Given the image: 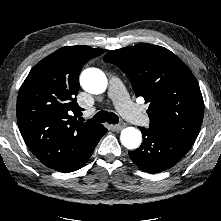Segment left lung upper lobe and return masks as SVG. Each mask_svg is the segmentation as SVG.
Here are the masks:
<instances>
[{"label": "left lung upper lobe", "instance_id": "5c2ea615", "mask_svg": "<svg viewBox=\"0 0 221 221\" xmlns=\"http://www.w3.org/2000/svg\"><path fill=\"white\" fill-rule=\"evenodd\" d=\"M103 60L129 78L136 97L149 102V129L192 145L201 128L204 102L189 68L168 49L148 43L107 53Z\"/></svg>", "mask_w": 221, "mask_h": 221}]
</instances>
